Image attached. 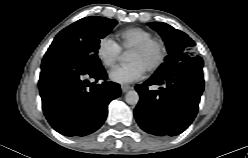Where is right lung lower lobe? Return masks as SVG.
Masks as SVG:
<instances>
[{
    "label": "right lung lower lobe",
    "instance_id": "98d812e1",
    "mask_svg": "<svg viewBox=\"0 0 248 158\" xmlns=\"http://www.w3.org/2000/svg\"><path fill=\"white\" fill-rule=\"evenodd\" d=\"M106 78L99 58L46 53L39 90L50 125L66 136H85L100 128L108 104L120 96V85Z\"/></svg>",
    "mask_w": 248,
    "mask_h": 158
}]
</instances>
